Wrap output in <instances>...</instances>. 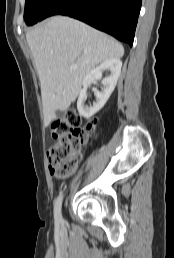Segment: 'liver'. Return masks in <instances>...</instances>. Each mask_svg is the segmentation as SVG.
Returning <instances> with one entry per match:
<instances>
[{"label": "liver", "mask_w": 174, "mask_h": 258, "mask_svg": "<svg viewBox=\"0 0 174 258\" xmlns=\"http://www.w3.org/2000/svg\"><path fill=\"white\" fill-rule=\"evenodd\" d=\"M40 84L45 124L73 102L86 75L98 64L124 55L115 39L65 16H54L26 34ZM76 65L74 70L70 66Z\"/></svg>", "instance_id": "1"}]
</instances>
